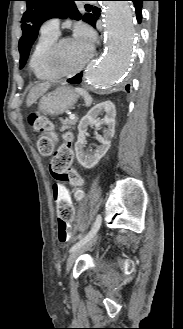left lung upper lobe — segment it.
Masks as SVG:
<instances>
[{
    "label": "left lung upper lobe",
    "instance_id": "5c2ea615",
    "mask_svg": "<svg viewBox=\"0 0 183 329\" xmlns=\"http://www.w3.org/2000/svg\"><path fill=\"white\" fill-rule=\"evenodd\" d=\"M27 3V10L21 22L23 31L19 41L20 68H23L30 49L37 38L40 25L46 20L54 17L80 20L93 25L95 16L87 13L82 16L76 5V0H24Z\"/></svg>",
    "mask_w": 183,
    "mask_h": 329
}]
</instances>
